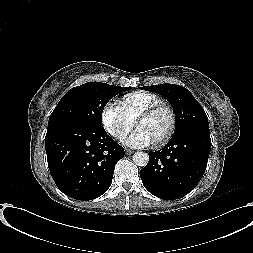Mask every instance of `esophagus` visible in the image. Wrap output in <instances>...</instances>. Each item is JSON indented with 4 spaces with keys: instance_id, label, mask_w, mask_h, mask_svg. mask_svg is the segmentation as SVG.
I'll use <instances>...</instances> for the list:
<instances>
[{
    "instance_id": "obj_1",
    "label": "esophagus",
    "mask_w": 253,
    "mask_h": 253,
    "mask_svg": "<svg viewBox=\"0 0 253 253\" xmlns=\"http://www.w3.org/2000/svg\"><path fill=\"white\" fill-rule=\"evenodd\" d=\"M134 153V151H132V150H126V155H131V154H133Z\"/></svg>"
}]
</instances>
